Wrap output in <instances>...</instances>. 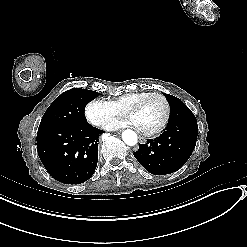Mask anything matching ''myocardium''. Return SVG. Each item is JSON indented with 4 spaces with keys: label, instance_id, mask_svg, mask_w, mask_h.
Returning <instances> with one entry per match:
<instances>
[{
    "label": "myocardium",
    "instance_id": "myocardium-1",
    "mask_svg": "<svg viewBox=\"0 0 247 247\" xmlns=\"http://www.w3.org/2000/svg\"><path fill=\"white\" fill-rule=\"evenodd\" d=\"M154 96H157V97H160L164 104H165V115H164V118H163V121L162 123L155 129H152V130H145V129H142V131L144 132V134L146 135H155V134H158L160 133L167 125L168 121H169V118H170V115H171V105H170V101L168 100V98L161 92H148L147 94H145L142 98L140 99H137L134 101V103L132 104V108L136 111V113L138 112L140 106H141V103L144 99L146 98H149V97H154Z\"/></svg>",
    "mask_w": 247,
    "mask_h": 247
}]
</instances>
